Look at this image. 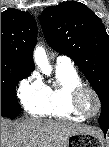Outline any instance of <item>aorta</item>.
Segmentation results:
<instances>
[{
    "mask_svg": "<svg viewBox=\"0 0 109 147\" xmlns=\"http://www.w3.org/2000/svg\"><path fill=\"white\" fill-rule=\"evenodd\" d=\"M34 62L42 71V73H44L47 76L51 74L52 67L49 64L46 51L42 46H36L34 50Z\"/></svg>",
    "mask_w": 109,
    "mask_h": 147,
    "instance_id": "obj_1",
    "label": "aorta"
}]
</instances>
